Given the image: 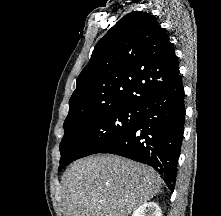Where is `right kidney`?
Returning <instances> with one entry per match:
<instances>
[{"instance_id":"obj_1","label":"right kidney","mask_w":221,"mask_h":216,"mask_svg":"<svg viewBox=\"0 0 221 216\" xmlns=\"http://www.w3.org/2000/svg\"><path fill=\"white\" fill-rule=\"evenodd\" d=\"M132 216H162V214L155 202H148L135 209Z\"/></svg>"}]
</instances>
